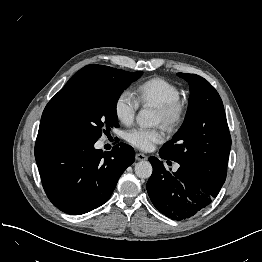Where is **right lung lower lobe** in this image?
I'll return each mask as SVG.
<instances>
[{
    "label": "right lung lower lobe",
    "instance_id": "98d812e1",
    "mask_svg": "<svg viewBox=\"0 0 262 262\" xmlns=\"http://www.w3.org/2000/svg\"><path fill=\"white\" fill-rule=\"evenodd\" d=\"M95 142L64 131L39 129L35 158L43 188L65 213L80 215L104 204L134 161V150L127 144L103 153L94 148Z\"/></svg>",
    "mask_w": 262,
    "mask_h": 262
}]
</instances>
